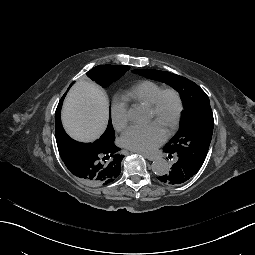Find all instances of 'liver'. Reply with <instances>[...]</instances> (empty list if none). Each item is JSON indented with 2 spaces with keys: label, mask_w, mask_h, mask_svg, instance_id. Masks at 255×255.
Listing matches in <instances>:
<instances>
[{
  "label": "liver",
  "mask_w": 255,
  "mask_h": 255,
  "mask_svg": "<svg viewBox=\"0 0 255 255\" xmlns=\"http://www.w3.org/2000/svg\"><path fill=\"white\" fill-rule=\"evenodd\" d=\"M109 118V102L97 84L78 80L68 92L62 108V124L70 137L92 142L105 131Z\"/></svg>",
  "instance_id": "obj_1"
}]
</instances>
